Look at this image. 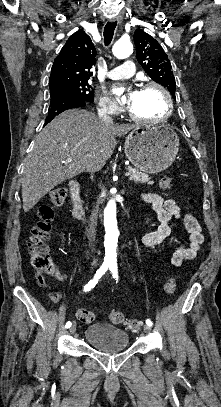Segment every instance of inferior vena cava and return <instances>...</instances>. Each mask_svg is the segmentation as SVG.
Here are the masks:
<instances>
[{"mask_svg": "<svg viewBox=\"0 0 221 407\" xmlns=\"http://www.w3.org/2000/svg\"><path fill=\"white\" fill-rule=\"evenodd\" d=\"M98 117H99V120L101 121V123H103L105 125H109V124L113 123L112 117L110 116L108 110L104 106L101 107L100 109H98ZM99 169H100V167H99ZM95 225H96V211L93 210L92 214L89 218V229L87 230V237L89 240L90 247L94 246L95 235H96Z\"/></svg>", "mask_w": 221, "mask_h": 407, "instance_id": "602c4592", "label": "inferior vena cava"}]
</instances>
